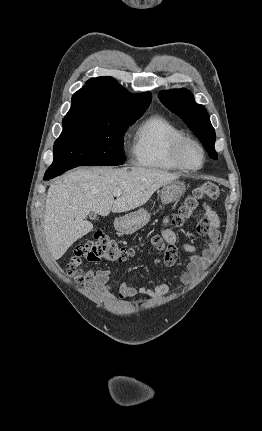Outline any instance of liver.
I'll list each match as a JSON object with an SVG mask.
<instances>
[{
  "label": "liver",
  "instance_id": "obj_1",
  "mask_svg": "<svg viewBox=\"0 0 262 431\" xmlns=\"http://www.w3.org/2000/svg\"><path fill=\"white\" fill-rule=\"evenodd\" d=\"M179 177L144 167H85L57 179L47 192L44 215L45 242L53 259H60L76 240L92 230L93 225L85 220L90 211L101 216L128 212ZM116 190L122 194L114 200Z\"/></svg>",
  "mask_w": 262,
  "mask_h": 431
}]
</instances>
